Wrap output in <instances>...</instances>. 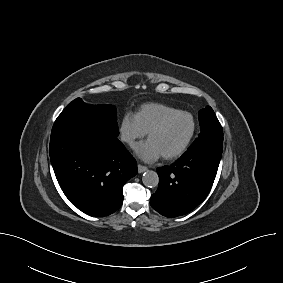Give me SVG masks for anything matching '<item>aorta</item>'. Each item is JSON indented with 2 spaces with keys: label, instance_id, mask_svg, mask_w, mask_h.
I'll list each match as a JSON object with an SVG mask.
<instances>
[{
  "label": "aorta",
  "instance_id": "762f6f07",
  "mask_svg": "<svg viewBox=\"0 0 283 283\" xmlns=\"http://www.w3.org/2000/svg\"><path fill=\"white\" fill-rule=\"evenodd\" d=\"M142 182L147 187H156L159 183L158 174L155 171L148 170L143 174Z\"/></svg>",
  "mask_w": 283,
  "mask_h": 283
}]
</instances>
